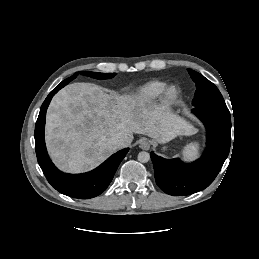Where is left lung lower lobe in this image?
<instances>
[{"label": "left lung lower lobe", "mask_w": 259, "mask_h": 259, "mask_svg": "<svg viewBox=\"0 0 259 259\" xmlns=\"http://www.w3.org/2000/svg\"><path fill=\"white\" fill-rule=\"evenodd\" d=\"M192 112L204 123L206 149L198 160L186 164L150 153L157 185L167 194L190 195L208 187L221 170L231 144V117L225 105H200Z\"/></svg>", "instance_id": "1"}]
</instances>
